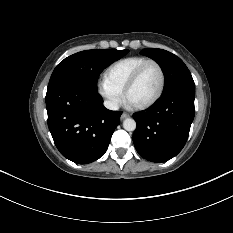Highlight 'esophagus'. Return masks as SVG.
Masks as SVG:
<instances>
[{"mask_svg": "<svg viewBox=\"0 0 233 233\" xmlns=\"http://www.w3.org/2000/svg\"><path fill=\"white\" fill-rule=\"evenodd\" d=\"M129 117V114H127V113H122V115H121V120H124V119H126V118H128Z\"/></svg>", "mask_w": 233, "mask_h": 233, "instance_id": "34e87169", "label": "esophagus"}]
</instances>
